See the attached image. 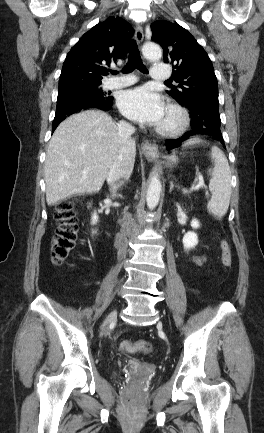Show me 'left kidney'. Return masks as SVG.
Returning a JSON list of instances; mask_svg holds the SVG:
<instances>
[{"label": "left kidney", "mask_w": 264, "mask_h": 433, "mask_svg": "<svg viewBox=\"0 0 264 433\" xmlns=\"http://www.w3.org/2000/svg\"><path fill=\"white\" fill-rule=\"evenodd\" d=\"M191 227L197 229L200 227L198 220L193 219L191 221ZM183 246L186 250L194 248L198 244V236L194 232H188L183 237Z\"/></svg>", "instance_id": "left-kidney-1"}]
</instances>
